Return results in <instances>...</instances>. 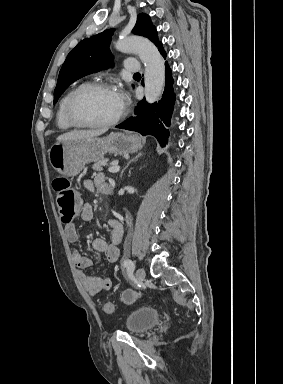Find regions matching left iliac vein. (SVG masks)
Returning <instances> with one entry per match:
<instances>
[{"label":"left iliac vein","instance_id":"1","mask_svg":"<svg viewBox=\"0 0 283 384\" xmlns=\"http://www.w3.org/2000/svg\"><path fill=\"white\" fill-rule=\"evenodd\" d=\"M145 271L142 268L137 269L136 271V279L139 284H142L145 280Z\"/></svg>","mask_w":283,"mask_h":384}]
</instances>
